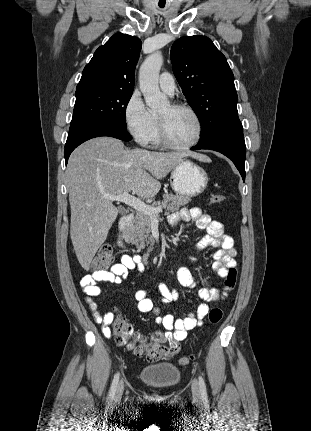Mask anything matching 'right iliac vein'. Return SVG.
Wrapping results in <instances>:
<instances>
[{"label": "right iliac vein", "instance_id": "1", "mask_svg": "<svg viewBox=\"0 0 311 431\" xmlns=\"http://www.w3.org/2000/svg\"><path fill=\"white\" fill-rule=\"evenodd\" d=\"M124 391V383L123 381H120V383L118 384V387L116 389V393H115V400H119L123 394Z\"/></svg>", "mask_w": 311, "mask_h": 431}]
</instances>
